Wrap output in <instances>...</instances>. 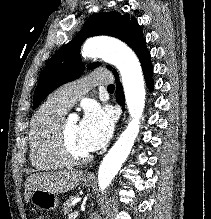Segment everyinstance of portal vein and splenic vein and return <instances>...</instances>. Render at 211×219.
<instances>
[{
	"instance_id": "obj_1",
	"label": "portal vein and splenic vein",
	"mask_w": 211,
	"mask_h": 219,
	"mask_svg": "<svg viewBox=\"0 0 211 219\" xmlns=\"http://www.w3.org/2000/svg\"><path fill=\"white\" fill-rule=\"evenodd\" d=\"M79 215L78 211L69 214L68 219H75Z\"/></svg>"
}]
</instances>
